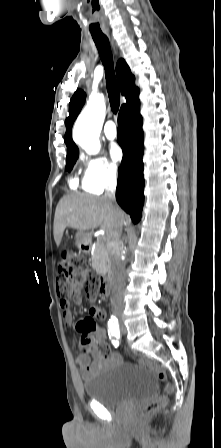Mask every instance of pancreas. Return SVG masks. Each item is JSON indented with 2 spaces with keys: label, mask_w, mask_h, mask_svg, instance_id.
Returning <instances> with one entry per match:
<instances>
[{
  "label": "pancreas",
  "mask_w": 221,
  "mask_h": 448,
  "mask_svg": "<svg viewBox=\"0 0 221 448\" xmlns=\"http://www.w3.org/2000/svg\"><path fill=\"white\" fill-rule=\"evenodd\" d=\"M91 262L93 269H95L97 273H103L108 268V247L102 238L97 240L95 248L92 251Z\"/></svg>",
  "instance_id": "pancreas-1"
}]
</instances>
